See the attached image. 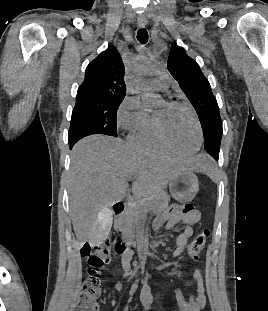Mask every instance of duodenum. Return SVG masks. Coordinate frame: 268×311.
<instances>
[{
	"instance_id": "duodenum-1",
	"label": "duodenum",
	"mask_w": 268,
	"mask_h": 311,
	"mask_svg": "<svg viewBox=\"0 0 268 311\" xmlns=\"http://www.w3.org/2000/svg\"><path fill=\"white\" fill-rule=\"evenodd\" d=\"M126 208V203L125 202H118L114 205V214L117 220H120L121 216L123 215L124 211ZM116 249L119 252H124L128 249V245L127 244H123V243H117L116 244Z\"/></svg>"
}]
</instances>
